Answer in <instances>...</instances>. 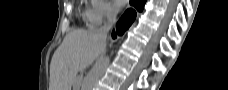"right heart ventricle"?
<instances>
[{
	"label": "right heart ventricle",
	"instance_id": "e07e8e85",
	"mask_svg": "<svg viewBox=\"0 0 228 90\" xmlns=\"http://www.w3.org/2000/svg\"><path fill=\"white\" fill-rule=\"evenodd\" d=\"M88 13H89V11H86V12H85V17L88 18V19H90Z\"/></svg>",
	"mask_w": 228,
	"mask_h": 90
}]
</instances>
